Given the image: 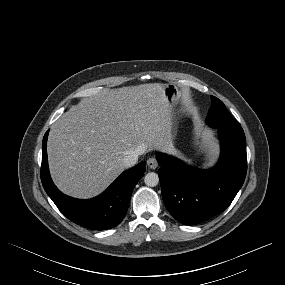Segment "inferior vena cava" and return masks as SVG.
<instances>
[{
    "label": "inferior vena cava",
    "instance_id": "inferior-vena-cava-1",
    "mask_svg": "<svg viewBox=\"0 0 285 285\" xmlns=\"http://www.w3.org/2000/svg\"><path fill=\"white\" fill-rule=\"evenodd\" d=\"M138 161V154L131 153L124 157L123 164L125 167H132L134 166Z\"/></svg>",
    "mask_w": 285,
    "mask_h": 285
}]
</instances>
